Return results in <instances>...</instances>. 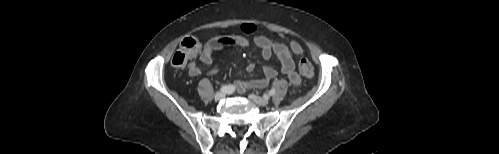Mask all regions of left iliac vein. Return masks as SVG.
Listing matches in <instances>:
<instances>
[{"mask_svg": "<svg viewBox=\"0 0 499 154\" xmlns=\"http://www.w3.org/2000/svg\"><path fill=\"white\" fill-rule=\"evenodd\" d=\"M249 98L259 106H266L268 104V98H263L254 94H250Z\"/></svg>", "mask_w": 499, "mask_h": 154, "instance_id": "4c4485c4", "label": "left iliac vein"}]
</instances>
